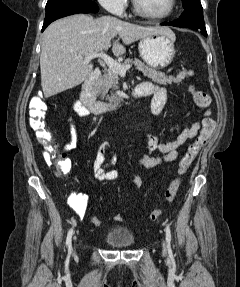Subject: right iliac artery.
Listing matches in <instances>:
<instances>
[{
	"label": "right iliac artery",
	"mask_w": 240,
	"mask_h": 287,
	"mask_svg": "<svg viewBox=\"0 0 240 287\" xmlns=\"http://www.w3.org/2000/svg\"><path fill=\"white\" fill-rule=\"evenodd\" d=\"M72 235H73V228H71L68 233H67V238H66V246L68 248V253H71L72 250Z\"/></svg>",
	"instance_id": "1"
}]
</instances>
